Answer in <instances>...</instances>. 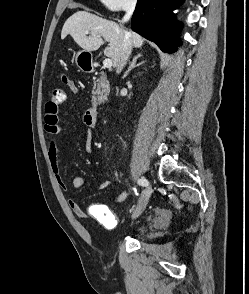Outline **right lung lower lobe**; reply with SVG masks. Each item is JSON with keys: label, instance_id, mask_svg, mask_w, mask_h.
<instances>
[{"label": "right lung lower lobe", "instance_id": "98d812e1", "mask_svg": "<svg viewBox=\"0 0 249 294\" xmlns=\"http://www.w3.org/2000/svg\"><path fill=\"white\" fill-rule=\"evenodd\" d=\"M183 0H138L132 17V29L155 42L164 52L172 53L180 42L176 39L179 24L174 21L173 9Z\"/></svg>", "mask_w": 249, "mask_h": 294}]
</instances>
